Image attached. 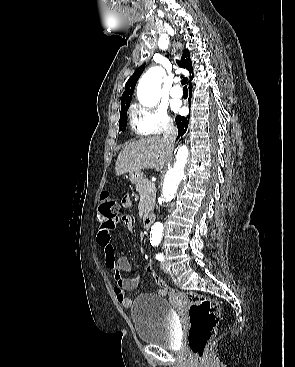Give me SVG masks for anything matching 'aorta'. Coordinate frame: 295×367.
I'll return each mask as SVG.
<instances>
[{"mask_svg": "<svg viewBox=\"0 0 295 367\" xmlns=\"http://www.w3.org/2000/svg\"><path fill=\"white\" fill-rule=\"evenodd\" d=\"M163 74L164 70L161 67H153L142 76L137 88L138 100L142 105L153 107L158 103ZM188 159V148L181 146L175 154L174 161L169 163L161 191V196L166 202L172 200L183 185L187 175ZM162 237L163 224L156 222L151 227L150 240L159 243Z\"/></svg>", "mask_w": 295, "mask_h": 367, "instance_id": "aorta-1", "label": "aorta"}]
</instances>
